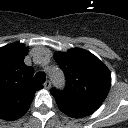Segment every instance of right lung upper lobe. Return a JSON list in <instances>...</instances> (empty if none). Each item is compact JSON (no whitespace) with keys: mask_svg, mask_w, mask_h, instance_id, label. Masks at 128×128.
<instances>
[{"mask_svg":"<svg viewBox=\"0 0 128 128\" xmlns=\"http://www.w3.org/2000/svg\"><path fill=\"white\" fill-rule=\"evenodd\" d=\"M28 48L15 43L0 48V118L14 120L28 110L34 93L43 88L33 80V68L24 58Z\"/></svg>","mask_w":128,"mask_h":128,"instance_id":"right-lung-upper-lobe-1","label":"right lung upper lobe"}]
</instances>
